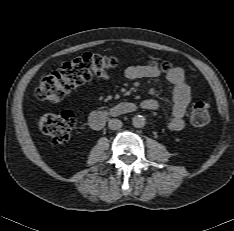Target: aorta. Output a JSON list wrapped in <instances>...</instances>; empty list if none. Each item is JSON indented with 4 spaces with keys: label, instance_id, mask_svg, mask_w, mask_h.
<instances>
[{
    "label": "aorta",
    "instance_id": "1",
    "mask_svg": "<svg viewBox=\"0 0 234 231\" xmlns=\"http://www.w3.org/2000/svg\"><path fill=\"white\" fill-rule=\"evenodd\" d=\"M132 125L136 128H142L145 125V118L141 115H136L132 118Z\"/></svg>",
    "mask_w": 234,
    "mask_h": 231
}]
</instances>
